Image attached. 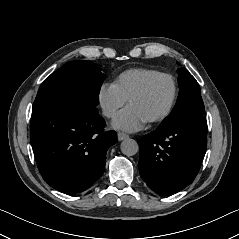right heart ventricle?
I'll return each mask as SVG.
<instances>
[{
	"instance_id": "right-heart-ventricle-1",
	"label": "right heart ventricle",
	"mask_w": 239,
	"mask_h": 239,
	"mask_svg": "<svg viewBox=\"0 0 239 239\" xmlns=\"http://www.w3.org/2000/svg\"><path fill=\"white\" fill-rule=\"evenodd\" d=\"M157 70L148 68H132L128 69L115 79L114 85L121 96L128 100L130 95L136 91L147 79L158 74Z\"/></svg>"
}]
</instances>
